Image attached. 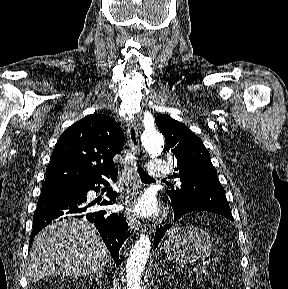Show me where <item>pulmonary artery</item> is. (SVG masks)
Returning <instances> with one entry per match:
<instances>
[{
  "label": "pulmonary artery",
  "mask_w": 288,
  "mask_h": 289,
  "mask_svg": "<svg viewBox=\"0 0 288 289\" xmlns=\"http://www.w3.org/2000/svg\"><path fill=\"white\" fill-rule=\"evenodd\" d=\"M147 173L153 178H163L167 174V164L163 160H151L147 165Z\"/></svg>",
  "instance_id": "1"
}]
</instances>
